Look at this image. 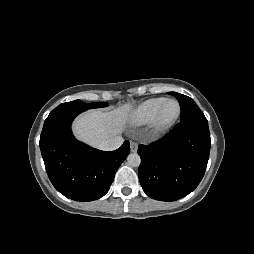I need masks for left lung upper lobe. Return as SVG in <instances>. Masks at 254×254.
<instances>
[{"instance_id":"5c2ea615","label":"left lung upper lobe","mask_w":254,"mask_h":254,"mask_svg":"<svg viewBox=\"0 0 254 254\" xmlns=\"http://www.w3.org/2000/svg\"><path fill=\"white\" fill-rule=\"evenodd\" d=\"M170 94L174 95L180 103V108H181L180 122H185L190 120L207 121L203 112L200 110L197 104L193 101V99L176 92H170Z\"/></svg>"}]
</instances>
